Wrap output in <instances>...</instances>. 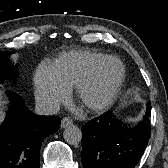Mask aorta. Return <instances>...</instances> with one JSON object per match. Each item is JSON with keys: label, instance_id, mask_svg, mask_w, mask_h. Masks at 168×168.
Segmentation results:
<instances>
[{"label": "aorta", "instance_id": "aorta-1", "mask_svg": "<svg viewBox=\"0 0 168 168\" xmlns=\"http://www.w3.org/2000/svg\"><path fill=\"white\" fill-rule=\"evenodd\" d=\"M63 137L68 144L76 145L82 139V132L77 126L69 125L65 128Z\"/></svg>", "mask_w": 168, "mask_h": 168}]
</instances>
